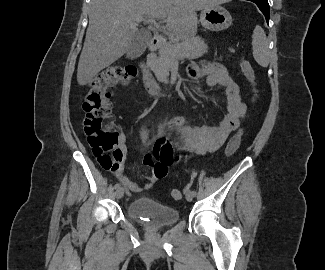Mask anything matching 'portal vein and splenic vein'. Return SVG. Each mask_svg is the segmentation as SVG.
Listing matches in <instances>:
<instances>
[{"mask_svg": "<svg viewBox=\"0 0 325 270\" xmlns=\"http://www.w3.org/2000/svg\"><path fill=\"white\" fill-rule=\"evenodd\" d=\"M135 21H136V22L145 21V22H147V23L154 24V26H155L157 29H160V28H161L160 24H159V23H156L154 19H145V18H143V17H137V18L135 19Z\"/></svg>", "mask_w": 325, "mask_h": 270, "instance_id": "18ae733b", "label": "portal vein and splenic vein"}]
</instances>
